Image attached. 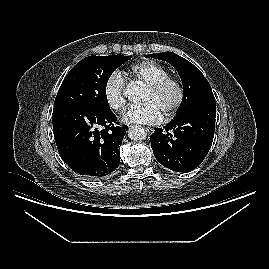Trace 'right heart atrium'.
<instances>
[{"label": "right heart atrium", "instance_id": "right-heart-atrium-1", "mask_svg": "<svg viewBox=\"0 0 269 269\" xmlns=\"http://www.w3.org/2000/svg\"><path fill=\"white\" fill-rule=\"evenodd\" d=\"M124 88L125 78L121 72L110 73L104 83L103 92L108 107L115 112L123 110L126 105L123 95Z\"/></svg>", "mask_w": 269, "mask_h": 269}]
</instances>
